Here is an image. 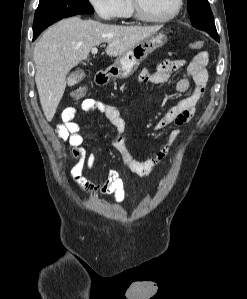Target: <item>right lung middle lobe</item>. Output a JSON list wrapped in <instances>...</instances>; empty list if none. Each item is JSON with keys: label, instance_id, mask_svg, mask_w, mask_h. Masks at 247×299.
<instances>
[{"label": "right lung middle lobe", "instance_id": "1", "mask_svg": "<svg viewBox=\"0 0 247 299\" xmlns=\"http://www.w3.org/2000/svg\"><path fill=\"white\" fill-rule=\"evenodd\" d=\"M83 13H94L88 0H40L35 12L33 35H39L58 20Z\"/></svg>", "mask_w": 247, "mask_h": 299}]
</instances>
